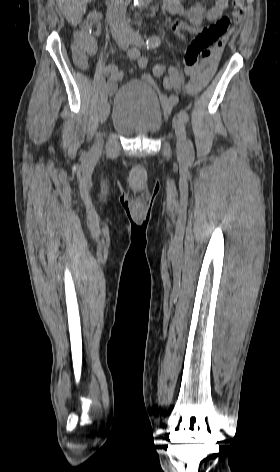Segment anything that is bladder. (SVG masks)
<instances>
[{
  "label": "bladder",
  "mask_w": 280,
  "mask_h": 472,
  "mask_svg": "<svg viewBox=\"0 0 280 472\" xmlns=\"http://www.w3.org/2000/svg\"><path fill=\"white\" fill-rule=\"evenodd\" d=\"M112 126L126 136H154L164 122L161 102L146 82L133 80L122 85L114 95Z\"/></svg>",
  "instance_id": "obj_1"
}]
</instances>
